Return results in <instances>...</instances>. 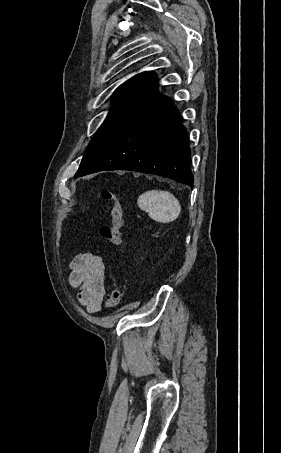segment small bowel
Segmentation results:
<instances>
[{"label":"small bowel","mask_w":281,"mask_h":453,"mask_svg":"<svg viewBox=\"0 0 281 453\" xmlns=\"http://www.w3.org/2000/svg\"><path fill=\"white\" fill-rule=\"evenodd\" d=\"M106 265L93 253H81L71 262L69 283L78 291V301L90 314L98 313L105 297Z\"/></svg>","instance_id":"c3829d8e"}]
</instances>
